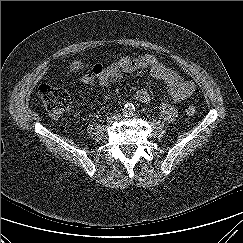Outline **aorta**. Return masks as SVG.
I'll list each match as a JSON object with an SVG mask.
<instances>
[{
  "label": "aorta",
  "mask_w": 243,
  "mask_h": 243,
  "mask_svg": "<svg viewBox=\"0 0 243 243\" xmlns=\"http://www.w3.org/2000/svg\"><path fill=\"white\" fill-rule=\"evenodd\" d=\"M133 110H134V107L132 104H126L124 107V112L126 114H132Z\"/></svg>",
  "instance_id": "aorta-1"
}]
</instances>
